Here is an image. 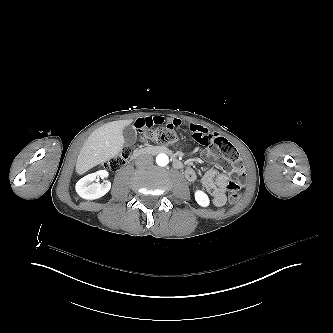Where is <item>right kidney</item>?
I'll return each instance as SVG.
<instances>
[{
	"mask_svg": "<svg viewBox=\"0 0 333 333\" xmlns=\"http://www.w3.org/2000/svg\"><path fill=\"white\" fill-rule=\"evenodd\" d=\"M98 176L105 177L107 176V172L100 171L98 174H88L76 183L75 190L81 198L85 200H96L103 197L110 191L111 184L109 181L105 180L103 183H93V181L97 179Z\"/></svg>",
	"mask_w": 333,
	"mask_h": 333,
	"instance_id": "right-kidney-1",
	"label": "right kidney"
}]
</instances>
